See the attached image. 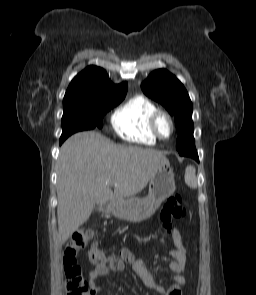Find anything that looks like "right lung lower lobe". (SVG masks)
Listing matches in <instances>:
<instances>
[{
	"instance_id": "1",
	"label": "right lung lower lobe",
	"mask_w": 256,
	"mask_h": 295,
	"mask_svg": "<svg viewBox=\"0 0 256 295\" xmlns=\"http://www.w3.org/2000/svg\"><path fill=\"white\" fill-rule=\"evenodd\" d=\"M90 122L88 121V124H89ZM65 139H60V144H62V142L64 141Z\"/></svg>"
}]
</instances>
